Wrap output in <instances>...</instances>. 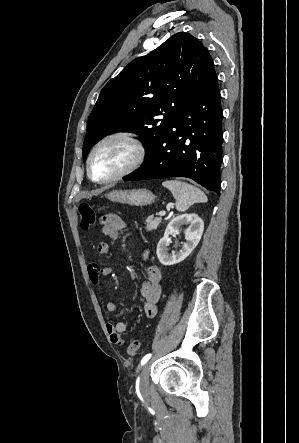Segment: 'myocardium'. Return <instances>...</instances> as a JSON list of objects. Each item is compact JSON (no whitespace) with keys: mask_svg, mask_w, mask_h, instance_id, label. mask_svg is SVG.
Returning a JSON list of instances; mask_svg holds the SVG:
<instances>
[{"mask_svg":"<svg viewBox=\"0 0 299 443\" xmlns=\"http://www.w3.org/2000/svg\"><path fill=\"white\" fill-rule=\"evenodd\" d=\"M114 140L122 141V142L128 144L132 150V157H131L130 161L118 172L114 173L113 175H111L109 177L97 179V178L93 177V175H92L91 167H92L93 159H94L96 153L98 152V150L103 145H105L106 143H108L110 141H114ZM145 156H146L145 145H144L143 141L141 140V138L136 133L129 132V131L114 132V133L108 134V135L104 136L103 138H101L91 148L88 158H87V163H86L87 175H88L89 179L94 183H97V184L111 183L113 181H116L120 178L127 176L128 174H130V173L134 172L136 169H138L142 165V163L145 159Z\"/></svg>","mask_w":299,"mask_h":443,"instance_id":"obj_1","label":"myocardium"}]
</instances>
